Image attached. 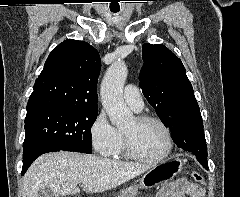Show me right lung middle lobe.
I'll list each match as a JSON object with an SVG mask.
<instances>
[{
    "instance_id": "right-lung-middle-lobe-1",
    "label": "right lung middle lobe",
    "mask_w": 240,
    "mask_h": 197,
    "mask_svg": "<svg viewBox=\"0 0 240 197\" xmlns=\"http://www.w3.org/2000/svg\"><path fill=\"white\" fill-rule=\"evenodd\" d=\"M98 109L43 108L27 112L23 159L49 148L90 154Z\"/></svg>"
}]
</instances>
